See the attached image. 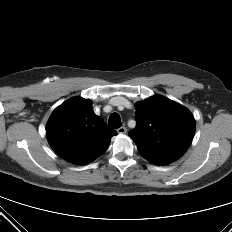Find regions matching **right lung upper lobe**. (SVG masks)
<instances>
[{
	"instance_id": "obj_1",
	"label": "right lung upper lobe",
	"mask_w": 232,
	"mask_h": 232,
	"mask_svg": "<svg viewBox=\"0 0 232 232\" xmlns=\"http://www.w3.org/2000/svg\"><path fill=\"white\" fill-rule=\"evenodd\" d=\"M46 134L52 149L62 158L86 164L106 151L117 132L93 112L90 100L75 97L53 111Z\"/></svg>"
}]
</instances>
